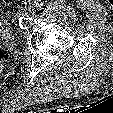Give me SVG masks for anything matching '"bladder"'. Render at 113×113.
Wrapping results in <instances>:
<instances>
[{"label":"bladder","instance_id":"31cf9c89","mask_svg":"<svg viewBox=\"0 0 113 113\" xmlns=\"http://www.w3.org/2000/svg\"><path fill=\"white\" fill-rule=\"evenodd\" d=\"M10 42L12 41V33L9 25L6 23L4 19V14L2 9L0 8V42Z\"/></svg>","mask_w":113,"mask_h":113}]
</instances>
